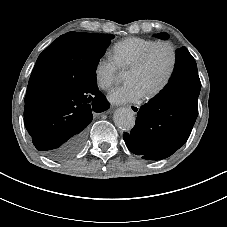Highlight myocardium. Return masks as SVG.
<instances>
[{"instance_id":"obj_1","label":"myocardium","mask_w":227,"mask_h":227,"mask_svg":"<svg viewBox=\"0 0 227 227\" xmlns=\"http://www.w3.org/2000/svg\"><path fill=\"white\" fill-rule=\"evenodd\" d=\"M159 47H165L169 50V52L171 54V60H170V65H169L168 71L166 73V76L163 79V81L161 82V84L147 95V97L149 99H153V98L157 97L158 95H160L169 85V83L175 73L177 61H178L176 47L171 42L158 41V42L154 43L152 46H150L148 48V50L140 57V59L130 68V72H139L142 69H144L145 66L148 64L150 58L152 57L153 53L155 52V50Z\"/></svg>"}]
</instances>
